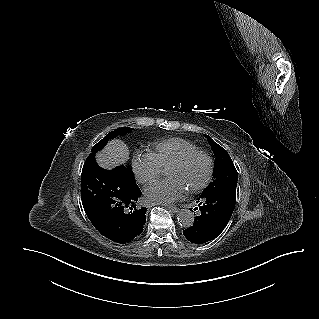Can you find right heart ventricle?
<instances>
[{
    "instance_id": "obj_1",
    "label": "right heart ventricle",
    "mask_w": 319,
    "mask_h": 319,
    "mask_svg": "<svg viewBox=\"0 0 319 319\" xmlns=\"http://www.w3.org/2000/svg\"><path fill=\"white\" fill-rule=\"evenodd\" d=\"M195 149L198 147L191 141L181 137H172L154 143L150 153L161 168H167L182 154Z\"/></svg>"
}]
</instances>
